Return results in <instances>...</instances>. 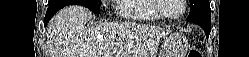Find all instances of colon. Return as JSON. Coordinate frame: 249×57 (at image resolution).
<instances>
[{
  "mask_svg": "<svg viewBox=\"0 0 249 57\" xmlns=\"http://www.w3.org/2000/svg\"><path fill=\"white\" fill-rule=\"evenodd\" d=\"M188 57H201V53H200V51H198V50H196V49H192V50L189 52Z\"/></svg>",
  "mask_w": 249,
  "mask_h": 57,
  "instance_id": "obj_1",
  "label": "colon"
}]
</instances>
